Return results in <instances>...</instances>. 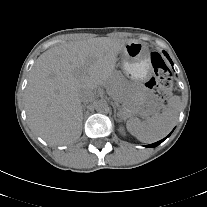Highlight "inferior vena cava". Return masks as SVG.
<instances>
[{"label":"inferior vena cava","instance_id":"602c4592","mask_svg":"<svg viewBox=\"0 0 207 207\" xmlns=\"http://www.w3.org/2000/svg\"><path fill=\"white\" fill-rule=\"evenodd\" d=\"M81 102L89 103L95 99V93L92 90L84 89L79 94Z\"/></svg>","mask_w":207,"mask_h":207}]
</instances>
